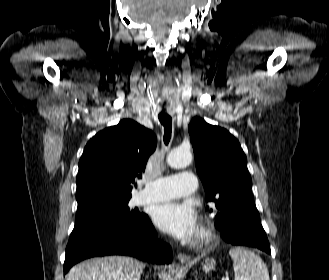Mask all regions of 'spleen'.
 <instances>
[{"mask_svg": "<svg viewBox=\"0 0 329 280\" xmlns=\"http://www.w3.org/2000/svg\"><path fill=\"white\" fill-rule=\"evenodd\" d=\"M229 255L234 264L235 280H270L265 263L254 252L235 247Z\"/></svg>", "mask_w": 329, "mask_h": 280, "instance_id": "1", "label": "spleen"}]
</instances>
